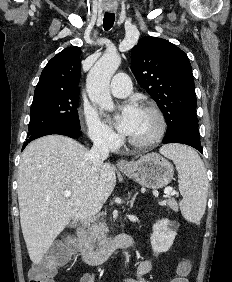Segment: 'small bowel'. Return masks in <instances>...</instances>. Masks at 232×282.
I'll return each mask as SVG.
<instances>
[{"mask_svg":"<svg viewBox=\"0 0 232 282\" xmlns=\"http://www.w3.org/2000/svg\"><path fill=\"white\" fill-rule=\"evenodd\" d=\"M151 269H152L151 261L148 259L144 260L137 267L135 280L127 279L124 282H148L145 276L151 271ZM79 282H96V278L93 273H84L80 277Z\"/></svg>","mask_w":232,"mask_h":282,"instance_id":"1","label":"small bowel"}]
</instances>
